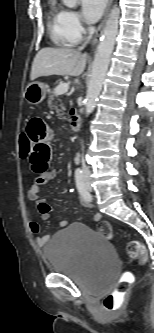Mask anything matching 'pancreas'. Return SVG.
<instances>
[{
    "label": "pancreas",
    "instance_id": "obj_1",
    "mask_svg": "<svg viewBox=\"0 0 154 333\" xmlns=\"http://www.w3.org/2000/svg\"><path fill=\"white\" fill-rule=\"evenodd\" d=\"M55 95H56L55 94V89L54 90L48 89V106H49V108H54L55 107L54 104H53V101L55 99ZM60 106L62 107V105H60ZM56 110H57V112L60 111L57 108H56Z\"/></svg>",
    "mask_w": 154,
    "mask_h": 333
}]
</instances>
